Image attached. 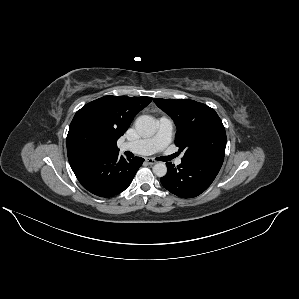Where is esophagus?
Returning <instances> with one entry per match:
<instances>
[{
	"instance_id": "obj_1",
	"label": "esophagus",
	"mask_w": 299,
	"mask_h": 299,
	"mask_svg": "<svg viewBox=\"0 0 299 299\" xmlns=\"http://www.w3.org/2000/svg\"><path fill=\"white\" fill-rule=\"evenodd\" d=\"M145 162L149 165H153V164L157 163V161L152 158H146Z\"/></svg>"
}]
</instances>
